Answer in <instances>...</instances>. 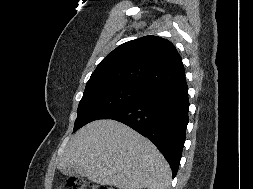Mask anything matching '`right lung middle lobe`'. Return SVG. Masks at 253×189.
<instances>
[{
	"label": "right lung middle lobe",
	"mask_w": 253,
	"mask_h": 189,
	"mask_svg": "<svg viewBox=\"0 0 253 189\" xmlns=\"http://www.w3.org/2000/svg\"><path fill=\"white\" fill-rule=\"evenodd\" d=\"M146 93V90L127 86H106L85 91L78 106L73 132L91 121L134 104Z\"/></svg>",
	"instance_id": "obj_1"
}]
</instances>
